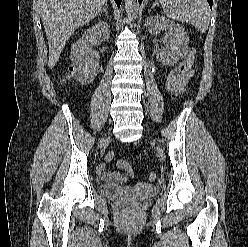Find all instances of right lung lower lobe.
<instances>
[{
  "label": "right lung lower lobe",
  "instance_id": "1",
  "mask_svg": "<svg viewBox=\"0 0 248 247\" xmlns=\"http://www.w3.org/2000/svg\"><path fill=\"white\" fill-rule=\"evenodd\" d=\"M121 1H122V0H115V2H116V4L118 5V7L120 6Z\"/></svg>",
  "mask_w": 248,
  "mask_h": 247
}]
</instances>
